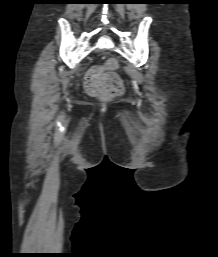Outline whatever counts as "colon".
<instances>
[{
  "label": "colon",
  "instance_id": "5ec220e1",
  "mask_svg": "<svg viewBox=\"0 0 218 257\" xmlns=\"http://www.w3.org/2000/svg\"><path fill=\"white\" fill-rule=\"evenodd\" d=\"M118 62L110 58L105 63V72L101 67L90 69L85 78V87L93 95L100 97H112L120 95L124 85L120 77L114 73Z\"/></svg>",
  "mask_w": 218,
  "mask_h": 257
}]
</instances>
